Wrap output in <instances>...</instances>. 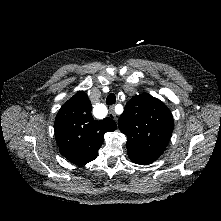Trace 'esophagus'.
I'll return each instance as SVG.
<instances>
[{
	"instance_id": "obj_1",
	"label": "esophagus",
	"mask_w": 221,
	"mask_h": 221,
	"mask_svg": "<svg viewBox=\"0 0 221 221\" xmlns=\"http://www.w3.org/2000/svg\"><path fill=\"white\" fill-rule=\"evenodd\" d=\"M114 105H112V106H110V108H109V114H110V116L115 120V121H117L118 120V117H117V115H116V113H115V111H114Z\"/></svg>"
}]
</instances>
